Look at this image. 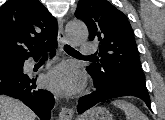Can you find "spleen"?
Masks as SVG:
<instances>
[{
	"label": "spleen",
	"instance_id": "obj_1",
	"mask_svg": "<svg viewBox=\"0 0 165 120\" xmlns=\"http://www.w3.org/2000/svg\"><path fill=\"white\" fill-rule=\"evenodd\" d=\"M112 104L125 113L126 120H148L147 116L132 103L125 100H115Z\"/></svg>",
	"mask_w": 165,
	"mask_h": 120
}]
</instances>
